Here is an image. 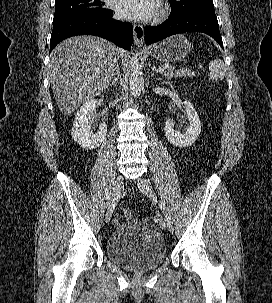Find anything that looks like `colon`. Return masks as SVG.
<instances>
[{"label":"colon","instance_id":"colon-1","mask_svg":"<svg viewBox=\"0 0 272 303\" xmlns=\"http://www.w3.org/2000/svg\"><path fill=\"white\" fill-rule=\"evenodd\" d=\"M174 74L177 77H181V78H191V77H195L198 76L199 73L197 71H195L192 68H187V67H177L174 69ZM124 217L126 219H131L132 218V211L130 209H126L124 210Z\"/></svg>","mask_w":272,"mask_h":303}]
</instances>
